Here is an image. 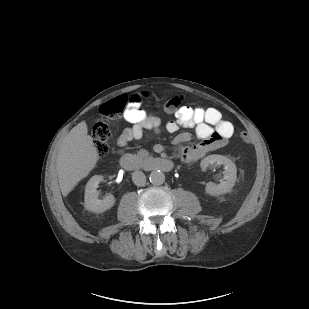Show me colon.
<instances>
[{
    "instance_id": "1",
    "label": "colon",
    "mask_w": 309,
    "mask_h": 309,
    "mask_svg": "<svg viewBox=\"0 0 309 309\" xmlns=\"http://www.w3.org/2000/svg\"><path fill=\"white\" fill-rule=\"evenodd\" d=\"M127 101L128 99L126 96H121L101 105V118L95 123L92 130L95 150L99 156H106L109 152V142L112 139V130L109 126V120L118 118L123 114ZM180 102V97L170 98L164 102L163 108L168 112H173ZM240 138L245 143L251 141V136L246 131L240 132Z\"/></svg>"
}]
</instances>
